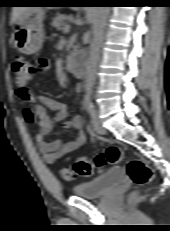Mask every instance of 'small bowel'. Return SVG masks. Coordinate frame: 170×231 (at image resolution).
<instances>
[{"label": "small bowel", "instance_id": "1", "mask_svg": "<svg viewBox=\"0 0 170 231\" xmlns=\"http://www.w3.org/2000/svg\"><path fill=\"white\" fill-rule=\"evenodd\" d=\"M33 65L37 75L44 74L49 68V62L44 58L38 59ZM76 91L80 93V84L77 85ZM16 93L21 100L27 103L23 109L24 119L30 124L37 125L38 132L35 140L46 163L54 164L61 157L85 145L86 133L81 117L78 115L70 117L67 104L46 95H36L27 86L17 88ZM58 123H61L65 129L72 128L76 131L73 141L62 144L58 140H45V137L53 131L54 126Z\"/></svg>", "mask_w": 170, "mask_h": 231}]
</instances>
